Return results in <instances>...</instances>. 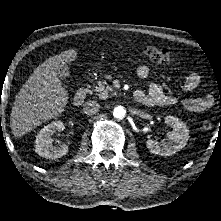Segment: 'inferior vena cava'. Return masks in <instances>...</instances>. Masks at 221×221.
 <instances>
[{"label":"inferior vena cava","instance_id":"602c4592","mask_svg":"<svg viewBox=\"0 0 221 221\" xmlns=\"http://www.w3.org/2000/svg\"><path fill=\"white\" fill-rule=\"evenodd\" d=\"M99 109L100 105L97 103V101L89 100L83 105V112L87 115L96 114L98 113Z\"/></svg>","mask_w":221,"mask_h":221}]
</instances>
